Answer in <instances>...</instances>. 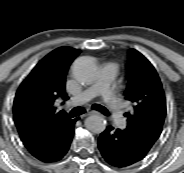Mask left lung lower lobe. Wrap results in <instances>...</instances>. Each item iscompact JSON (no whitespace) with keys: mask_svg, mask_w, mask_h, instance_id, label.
<instances>
[{"mask_svg":"<svg viewBox=\"0 0 184 173\" xmlns=\"http://www.w3.org/2000/svg\"><path fill=\"white\" fill-rule=\"evenodd\" d=\"M102 156L110 163L127 166L142 160L150 147L136 139L128 131L107 128L98 139Z\"/></svg>","mask_w":184,"mask_h":173,"instance_id":"0a47b994","label":"left lung lower lobe"}]
</instances>
